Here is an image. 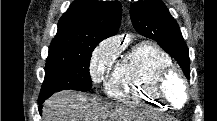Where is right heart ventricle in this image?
Segmentation results:
<instances>
[{"label": "right heart ventricle", "mask_w": 217, "mask_h": 121, "mask_svg": "<svg viewBox=\"0 0 217 121\" xmlns=\"http://www.w3.org/2000/svg\"><path fill=\"white\" fill-rule=\"evenodd\" d=\"M172 67L171 57L149 41L133 46L116 64L105 83L112 99L164 110L167 105L157 96L154 81L157 74Z\"/></svg>", "instance_id": "right-heart-ventricle-1"}]
</instances>
